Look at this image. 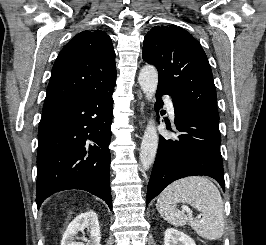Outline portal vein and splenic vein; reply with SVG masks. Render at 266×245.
I'll return each instance as SVG.
<instances>
[{
	"mask_svg": "<svg viewBox=\"0 0 266 245\" xmlns=\"http://www.w3.org/2000/svg\"><path fill=\"white\" fill-rule=\"evenodd\" d=\"M183 211H186V213H188V215H192V211H191V209H188V207H183ZM198 219H200V215H199Z\"/></svg>",
	"mask_w": 266,
	"mask_h": 245,
	"instance_id": "18ae733b",
	"label": "portal vein and splenic vein"
}]
</instances>
